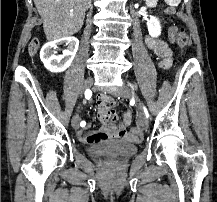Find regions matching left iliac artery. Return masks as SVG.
Instances as JSON below:
<instances>
[{"label":"left iliac artery","mask_w":217,"mask_h":202,"mask_svg":"<svg viewBox=\"0 0 217 202\" xmlns=\"http://www.w3.org/2000/svg\"><path fill=\"white\" fill-rule=\"evenodd\" d=\"M129 85L132 87L131 84H129ZM132 88H133V87H132ZM144 111H145L146 116L149 117L148 111H147V109H146L145 107H144Z\"/></svg>","instance_id":"1"}]
</instances>
